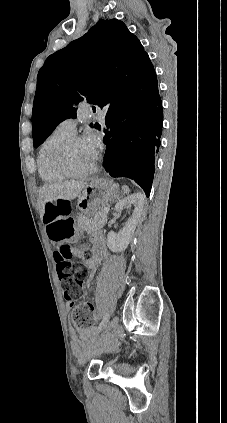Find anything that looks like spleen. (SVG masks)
<instances>
[{"mask_svg": "<svg viewBox=\"0 0 227 423\" xmlns=\"http://www.w3.org/2000/svg\"><path fill=\"white\" fill-rule=\"evenodd\" d=\"M124 194H129L130 190L128 186H123Z\"/></svg>", "mask_w": 227, "mask_h": 423, "instance_id": "3e777b00", "label": "spleen"}]
</instances>
